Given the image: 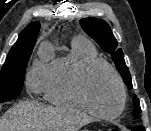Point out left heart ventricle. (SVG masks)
Wrapping results in <instances>:
<instances>
[{"label": "left heart ventricle", "instance_id": "left-heart-ventricle-1", "mask_svg": "<svg viewBox=\"0 0 151 131\" xmlns=\"http://www.w3.org/2000/svg\"><path fill=\"white\" fill-rule=\"evenodd\" d=\"M91 105L104 114L114 113L120 105V92L113 75L104 67L95 69L86 81Z\"/></svg>", "mask_w": 151, "mask_h": 131}]
</instances>
